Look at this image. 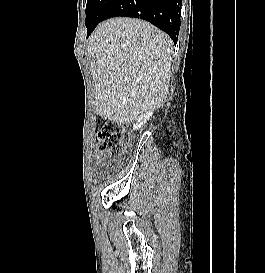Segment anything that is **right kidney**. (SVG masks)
<instances>
[{
    "instance_id": "1",
    "label": "right kidney",
    "mask_w": 265,
    "mask_h": 273,
    "mask_svg": "<svg viewBox=\"0 0 265 273\" xmlns=\"http://www.w3.org/2000/svg\"><path fill=\"white\" fill-rule=\"evenodd\" d=\"M152 114H153V111L150 110L142 114L141 116H139L137 119V123L133 125V130H137L141 128L147 122V120L152 116Z\"/></svg>"
}]
</instances>
